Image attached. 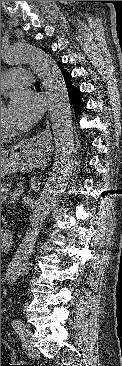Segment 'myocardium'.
Instances as JSON below:
<instances>
[{"label":"myocardium","instance_id":"1","mask_svg":"<svg viewBox=\"0 0 122 366\" xmlns=\"http://www.w3.org/2000/svg\"><path fill=\"white\" fill-rule=\"evenodd\" d=\"M12 135L9 133H4L1 132V142L7 141V140H11L12 139Z\"/></svg>","mask_w":122,"mask_h":366}]
</instances>
